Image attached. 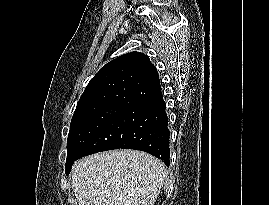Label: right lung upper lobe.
Instances as JSON below:
<instances>
[{
  "label": "right lung upper lobe",
  "mask_w": 269,
  "mask_h": 205,
  "mask_svg": "<svg viewBox=\"0 0 269 205\" xmlns=\"http://www.w3.org/2000/svg\"><path fill=\"white\" fill-rule=\"evenodd\" d=\"M160 93L159 76L148 56L130 52L99 70L84 90L76 109L98 104L129 107Z\"/></svg>",
  "instance_id": "obj_1"
}]
</instances>
